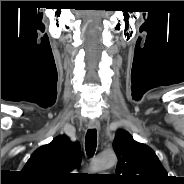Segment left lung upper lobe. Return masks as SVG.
I'll return each mask as SVG.
<instances>
[{
  "instance_id": "5c2ea615",
  "label": "left lung upper lobe",
  "mask_w": 184,
  "mask_h": 184,
  "mask_svg": "<svg viewBox=\"0 0 184 184\" xmlns=\"http://www.w3.org/2000/svg\"><path fill=\"white\" fill-rule=\"evenodd\" d=\"M118 157L114 180L120 184H167L170 178L155 152L139 143L124 130H118L113 141Z\"/></svg>"
}]
</instances>
